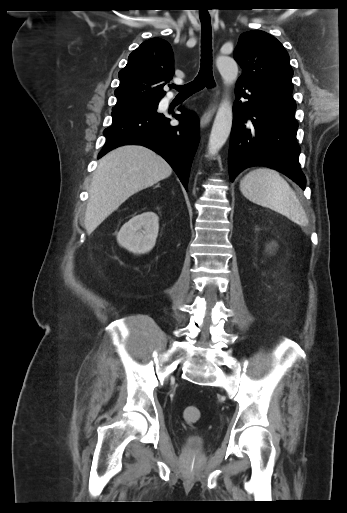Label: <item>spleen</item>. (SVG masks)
<instances>
[{"instance_id":"1","label":"spleen","mask_w":347,"mask_h":513,"mask_svg":"<svg viewBox=\"0 0 347 513\" xmlns=\"http://www.w3.org/2000/svg\"><path fill=\"white\" fill-rule=\"evenodd\" d=\"M240 191L251 202L270 208L301 226L308 222L294 190L275 170L257 168L250 171L240 181Z\"/></svg>"}]
</instances>
